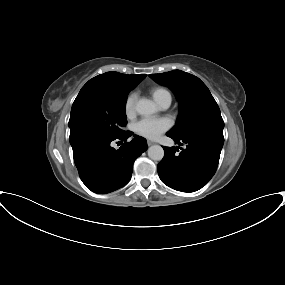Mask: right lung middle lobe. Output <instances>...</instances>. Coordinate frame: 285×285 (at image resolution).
Here are the masks:
<instances>
[{"mask_svg": "<svg viewBox=\"0 0 285 285\" xmlns=\"http://www.w3.org/2000/svg\"><path fill=\"white\" fill-rule=\"evenodd\" d=\"M128 92L86 90L76 97L69 120L70 143L90 134L117 137L126 131Z\"/></svg>", "mask_w": 285, "mask_h": 285, "instance_id": "dd1d6c3e", "label": "right lung middle lobe"}]
</instances>
